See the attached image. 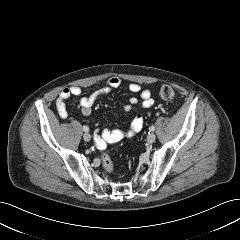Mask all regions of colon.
I'll return each mask as SVG.
<instances>
[{
    "label": "colon",
    "instance_id": "obj_1",
    "mask_svg": "<svg viewBox=\"0 0 240 240\" xmlns=\"http://www.w3.org/2000/svg\"><path fill=\"white\" fill-rule=\"evenodd\" d=\"M160 96L163 100L171 101L174 99L175 93L171 86L164 85L160 89ZM101 162L103 167L108 171L112 172L114 170V165L111 157L107 153L101 154Z\"/></svg>",
    "mask_w": 240,
    "mask_h": 240
}]
</instances>
